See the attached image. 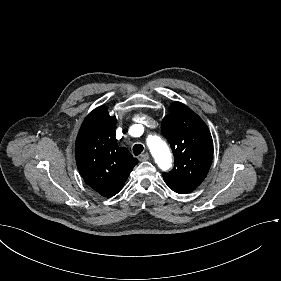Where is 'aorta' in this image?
Segmentation results:
<instances>
[{
  "label": "aorta",
  "instance_id": "obj_1",
  "mask_svg": "<svg viewBox=\"0 0 281 281\" xmlns=\"http://www.w3.org/2000/svg\"><path fill=\"white\" fill-rule=\"evenodd\" d=\"M147 145L158 166L167 170L171 166V153L167 144L158 136H151L147 140Z\"/></svg>",
  "mask_w": 281,
  "mask_h": 281
}]
</instances>
